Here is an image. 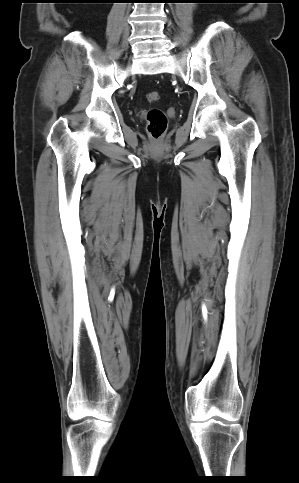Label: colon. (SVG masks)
I'll return each mask as SVG.
<instances>
[{
	"instance_id": "5ec220e1",
	"label": "colon",
	"mask_w": 299,
	"mask_h": 483,
	"mask_svg": "<svg viewBox=\"0 0 299 483\" xmlns=\"http://www.w3.org/2000/svg\"><path fill=\"white\" fill-rule=\"evenodd\" d=\"M160 99L157 91H151L147 94V100L150 103H156ZM167 129V118L160 109H151L147 115V132L153 139H160Z\"/></svg>"
}]
</instances>
